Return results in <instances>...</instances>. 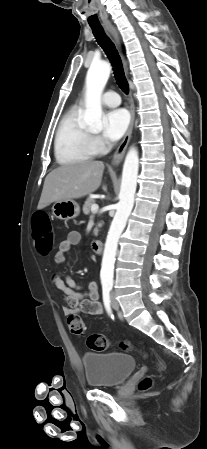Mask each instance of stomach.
Returning <instances> with one entry per match:
<instances>
[{
    "label": "stomach",
    "mask_w": 207,
    "mask_h": 449,
    "mask_svg": "<svg viewBox=\"0 0 207 449\" xmlns=\"http://www.w3.org/2000/svg\"><path fill=\"white\" fill-rule=\"evenodd\" d=\"M52 214L60 220H70L80 214V207L74 200L57 201L52 206Z\"/></svg>",
    "instance_id": "stomach-1"
}]
</instances>
